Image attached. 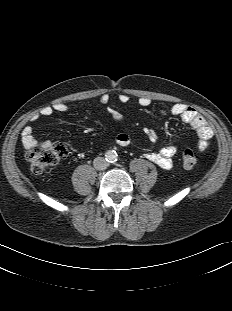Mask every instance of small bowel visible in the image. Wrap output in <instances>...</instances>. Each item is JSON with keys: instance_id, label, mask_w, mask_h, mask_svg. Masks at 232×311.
<instances>
[{"instance_id": "c3829d8e", "label": "small bowel", "mask_w": 232, "mask_h": 311, "mask_svg": "<svg viewBox=\"0 0 232 311\" xmlns=\"http://www.w3.org/2000/svg\"><path fill=\"white\" fill-rule=\"evenodd\" d=\"M110 100L109 95L103 94L100 97V102L102 104H107ZM120 103H127L129 101V96L127 94H120L118 96ZM150 99L142 97L138 100L140 106H148L150 104ZM69 110L68 104L64 102H55L51 105L44 106L40 109L38 114L32 117V121H38L40 117H50L54 113H63ZM165 113V111H163ZM168 113L172 116L181 118V120L189 125L198 136V149L200 151L205 150L213 136V130L208 122L203 116H201L195 109L185 106L183 104H175L169 110ZM109 114L113 120L117 123L122 121V116L114 109L109 110ZM22 143L26 149H32L38 146H48L51 144L50 140H39L34 136L33 127L26 125L21 132ZM116 142L122 147H128L131 145L132 141L127 134L121 133L116 136ZM177 152V147L171 143L164 146L159 152L147 153L145 157L158 165L163 169H171L173 167V156Z\"/></svg>"}]
</instances>
